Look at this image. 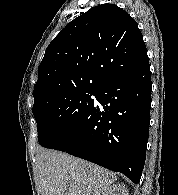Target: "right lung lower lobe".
<instances>
[{"mask_svg":"<svg viewBox=\"0 0 178 195\" xmlns=\"http://www.w3.org/2000/svg\"><path fill=\"white\" fill-rule=\"evenodd\" d=\"M151 90L149 62L108 82L96 91L102 107L93 105L53 149L138 183L146 159Z\"/></svg>","mask_w":178,"mask_h":195,"instance_id":"1","label":"right lung lower lobe"}]
</instances>
